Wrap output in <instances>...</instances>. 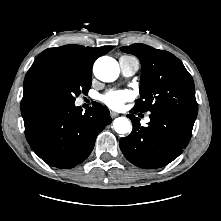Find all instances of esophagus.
I'll use <instances>...</instances> for the list:
<instances>
[{
  "instance_id": "34e87169",
  "label": "esophagus",
  "mask_w": 221,
  "mask_h": 221,
  "mask_svg": "<svg viewBox=\"0 0 221 221\" xmlns=\"http://www.w3.org/2000/svg\"><path fill=\"white\" fill-rule=\"evenodd\" d=\"M110 115H111L112 118H115V117L119 116V114L114 112V111H110Z\"/></svg>"
}]
</instances>
